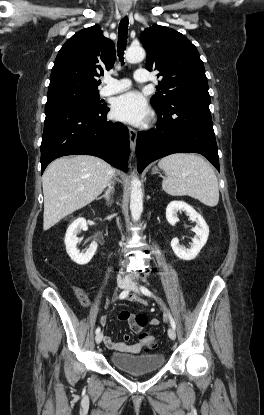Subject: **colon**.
Segmentation results:
<instances>
[{
    "instance_id": "obj_1",
    "label": "colon",
    "mask_w": 264,
    "mask_h": 415,
    "mask_svg": "<svg viewBox=\"0 0 264 415\" xmlns=\"http://www.w3.org/2000/svg\"><path fill=\"white\" fill-rule=\"evenodd\" d=\"M79 297H80V300H81L83 305L88 304L87 297L84 294L80 293ZM133 321H134L135 325L139 328L146 324V318L142 315H135L133 317ZM139 339L142 342L143 349L146 351V353H151L156 349L157 342H156L155 338L152 335H150L149 333H147V332L140 333L139 334Z\"/></svg>"
}]
</instances>
